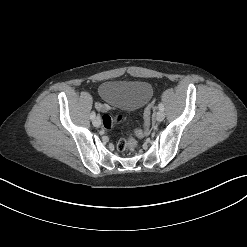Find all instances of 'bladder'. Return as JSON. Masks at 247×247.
I'll list each match as a JSON object with an SVG mask.
<instances>
[{
    "label": "bladder",
    "mask_w": 247,
    "mask_h": 247,
    "mask_svg": "<svg viewBox=\"0 0 247 247\" xmlns=\"http://www.w3.org/2000/svg\"><path fill=\"white\" fill-rule=\"evenodd\" d=\"M147 82L107 80L100 84L99 95L110 106L132 111L146 104L152 96Z\"/></svg>",
    "instance_id": "bladder-1"
}]
</instances>
